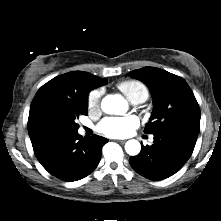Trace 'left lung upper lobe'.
<instances>
[{"label":"left lung upper lobe","mask_w":221,"mask_h":221,"mask_svg":"<svg viewBox=\"0 0 221 221\" xmlns=\"http://www.w3.org/2000/svg\"><path fill=\"white\" fill-rule=\"evenodd\" d=\"M151 90L154 109L144 132L155 134L166 129H179L198 136L200 109L186 81L155 67H144L129 73Z\"/></svg>","instance_id":"left-lung-upper-lobe-1"}]
</instances>
